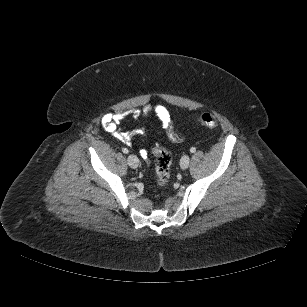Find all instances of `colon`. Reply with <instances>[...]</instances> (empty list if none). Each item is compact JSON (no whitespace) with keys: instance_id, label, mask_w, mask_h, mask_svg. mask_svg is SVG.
Wrapping results in <instances>:
<instances>
[{"instance_id":"1","label":"colon","mask_w":307,"mask_h":307,"mask_svg":"<svg viewBox=\"0 0 307 307\" xmlns=\"http://www.w3.org/2000/svg\"><path fill=\"white\" fill-rule=\"evenodd\" d=\"M199 123L208 128H216L219 124L218 119L209 113H204L199 117ZM167 136L173 142H179L182 140L174 129V125L169 122L167 125ZM153 154L155 155V175L156 180L160 186L167 184L170 179V168L172 163V157L168 150L163 147L156 146L153 148Z\"/></svg>"}]
</instances>
